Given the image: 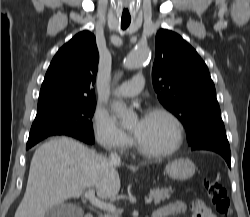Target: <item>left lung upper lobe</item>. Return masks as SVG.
Masks as SVG:
<instances>
[{"mask_svg":"<svg viewBox=\"0 0 250 217\" xmlns=\"http://www.w3.org/2000/svg\"><path fill=\"white\" fill-rule=\"evenodd\" d=\"M153 86L159 101L184 125L188 141L209 125L222 122L215 86L198 53L180 35L156 34Z\"/></svg>","mask_w":250,"mask_h":217,"instance_id":"1","label":"left lung upper lobe"}]
</instances>
